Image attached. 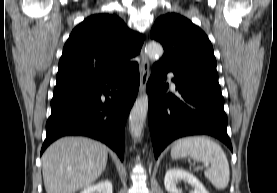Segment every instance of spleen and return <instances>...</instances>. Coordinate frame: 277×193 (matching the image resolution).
<instances>
[{"label":"spleen","instance_id":"obj_1","mask_svg":"<svg viewBox=\"0 0 277 193\" xmlns=\"http://www.w3.org/2000/svg\"><path fill=\"white\" fill-rule=\"evenodd\" d=\"M185 156L211 165L204 175L216 189L224 190L228 186L229 163L223 149L216 142L205 136L181 138L173 144L171 157L179 159Z\"/></svg>","mask_w":277,"mask_h":193}]
</instances>
